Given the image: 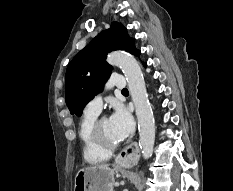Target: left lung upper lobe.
I'll return each mask as SVG.
<instances>
[{"instance_id":"5c2ea615","label":"left lung upper lobe","mask_w":233,"mask_h":191,"mask_svg":"<svg viewBox=\"0 0 233 191\" xmlns=\"http://www.w3.org/2000/svg\"><path fill=\"white\" fill-rule=\"evenodd\" d=\"M134 41L121 23L112 22L73 58L65 77V100L71 114L80 116L85 105L102 90L112 70L105 61L109 52L124 50L140 55Z\"/></svg>"}]
</instances>
